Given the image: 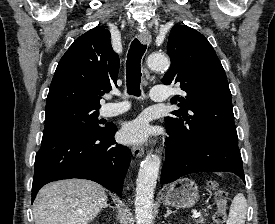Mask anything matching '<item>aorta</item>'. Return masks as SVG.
I'll list each match as a JSON object with an SVG mask.
<instances>
[{
	"label": "aorta",
	"instance_id": "762f6f07",
	"mask_svg": "<svg viewBox=\"0 0 275 224\" xmlns=\"http://www.w3.org/2000/svg\"><path fill=\"white\" fill-rule=\"evenodd\" d=\"M147 65L151 70L161 71L167 70L170 62L165 55L154 53L147 58ZM160 164L161 158L157 153H150L141 163L136 181V224L151 223L154 189Z\"/></svg>",
	"mask_w": 275,
	"mask_h": 224
}]
</instances>
